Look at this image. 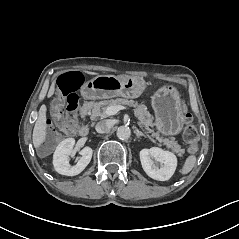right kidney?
Wrapping results in <instances>:
<instances>
[{
    "mask_svg": "<svg viewBox=\"0 0 239 239\" xmlns=\"http://www.w3.org/2000/svg\"><path fill=\"white\" fill-rule=\"evenodd\" d=\"M75 140L73 138L62 141L56 148L53 164L55 170L62 175L75 176L80 174L90 163L93 150L89 146L83 147L79 152L81 158L76 165L68 163L69 157L74 153Z\"/></svg>",
    "mask_w": 239,
    "mask_h": 239,
    "instance_id": "obj_1",
    "label": "right kidney"
}]
</instances>
